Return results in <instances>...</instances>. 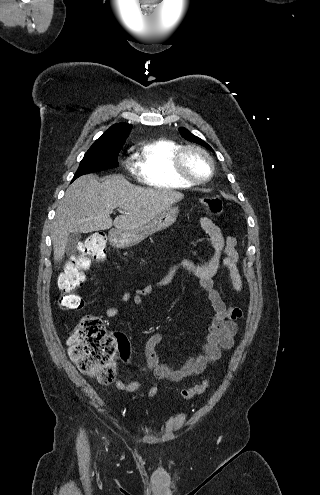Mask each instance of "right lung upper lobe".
<instances>
[{"label": "right lung upper lobe", "instance_id": "obj_1", "mask_svg": "<svg viewBox=\"0 0 320 495\" xmlns=\"http://www.w3.org/2000/svg\"><path fill=\"white\" fill-rule=\"evenodd\" d=\"M131 127L127 123L114 124L92 146H123Z\"/></svg>", "mask_w": 320, "mask_h": 495}]
</instances>
